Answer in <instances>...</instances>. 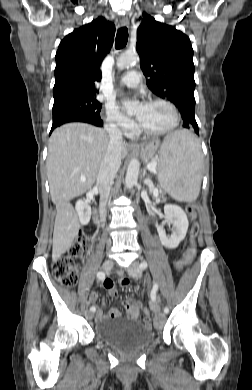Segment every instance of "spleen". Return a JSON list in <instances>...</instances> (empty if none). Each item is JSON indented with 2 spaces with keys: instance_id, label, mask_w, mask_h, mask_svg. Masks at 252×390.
Returning <instances> with one entry per match:
<instances>
[{
  "instance_id": "3e777b00",
  "label": "spleen",
  "mask_w": 252,
  "mask_h": 390,
  "mask_svg": "<svg viewBox=\"0 0 252 390\" xmlns=\"http://www.w3.org/2000/svg\"><path fill=\"white\" fill-rule=\"evenodd\" d=\"M160 154L161 187L179 202L195 201L200 192L203 165L196 137L185 130L176 131L165 138Z\"/></svg>"
}]
</instances>
